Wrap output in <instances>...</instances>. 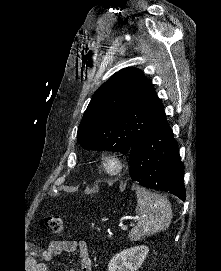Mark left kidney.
Segmentation results:
<instances>
[{"label": "left kidney", "instance_id": "1", "mask_svg": "<svg viewBox=\"0 0 221 271\" xmlns=\"http://www.w3.org/2000/svg\"><path fill=\"white\" fill-rule=\"evenodd\" d=\"M148 245H134L112 255L108 263V271H137L141 267L147 253Z\"/></svg>", "mask_w": 221, "mask_h": 271}]
</instances>
